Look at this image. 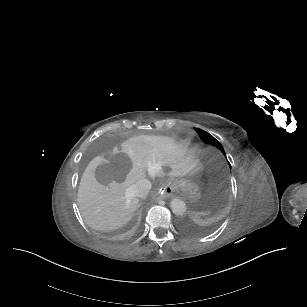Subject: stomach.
Wrapping results in <instances>:
<instances>
[{"instance_id":"stomach-1","label":"stomach","mask_w":307,"mask_h":307,"mask_svg":"<svg viewBox=\"0 0 307 307\" xmlns=\"http://www.w3.org/2000/svg\"><path fill=\"white\" fill-rule=\"evenodd\" d=\"M197 174V171H193L185 176L173 177L171 185L183 193H192L196 189Z\"/></svg>"}]
</instances>
